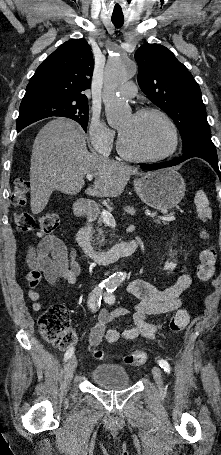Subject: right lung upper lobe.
<instances>
[{"instance_id":"right-lung-upper-lobe-1","label":"right lung upper lobe","mask_w":221,"mask_h":455,"mask_svg":"<svg viewBox=\"0 0 221 455\" xmlns=\"http://www.w3.org/2000/svg\"><path fill=\"white\" fill-rule=\"evenodd\" d=\"M91 47L85 39L63 43L37 68L20 106L49 101H87L83 93L93 74Z\"/></svg>"}]
</instances>
